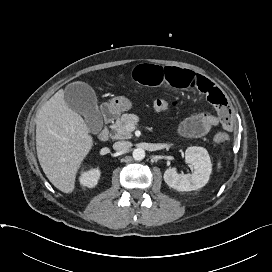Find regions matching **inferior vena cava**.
<instances>
[{
  "label": "inferior vena cava",
  "instance_id": "1",
  "mask_svg": "<svg viewBox=\"0 0 272 272\" xmlns=\"http://www.w3.org/2000/svg\"><path fill=\"white\" fill-rule=\"evenodd\" d=\"M131 142L129 141H117L113 144V149L116 151L127 150L131 147Z\"/></svg>",
  "mask_w": 272,
  "mask_h": 272
}]
</instances>
